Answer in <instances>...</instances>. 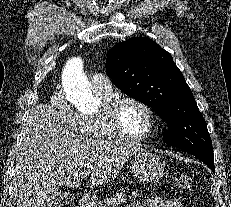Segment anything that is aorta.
Segmentation results:
<instances>
[{"mask_svg": "<svg viewBox=\"0 0 231 207\" xmlns=\"http://www.w3.org/2000/svg\"><path fill=\"white\" fill-rule=\"evenodd\" d=\"M62 85L66 99L79 110L96 108L98 99L92 94L83 73V61L74 57L67 61L62 74Z\"/></svg>", "mask_w": 231, "mask_h": 207, "instance_id": "762f6f07", "label": "aorta"}]
</instances>
